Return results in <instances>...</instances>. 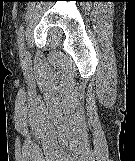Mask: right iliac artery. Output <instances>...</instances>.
I'll return each mask as SVG.
<instances>
[{"mask_svg":"<svg viewBox=\"0 0 135 161\" xmlns=\"http://www.w3.org/2000/svg\"><path fill=\"white\" fill-rule=\"evenodd\" d=\"M17 43H18L19 51L21 52L24 45V27L22 25L18 30Z\"/></svg>","mask_w":135,"mask_h":161,"instance_id":"82829eb1","label":"right iliac artery"}]
</instances>
